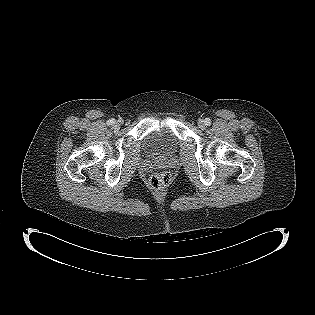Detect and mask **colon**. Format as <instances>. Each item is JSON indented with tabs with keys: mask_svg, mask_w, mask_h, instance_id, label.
Here are the masks:
<instances>
[{
	"mask_svg": "<svg viewBox=\"0 0 315 315\" xmlns=\"http://www.w3.org/2000/svg\"><path fill=\"white\" fill-rule=\"evenodd\" d=\"M172 180V175L169 171H156L151 174L149 184L156 190L166 188Z\"/></svg>",
	"mask_w": 315,
	"mask_h": 315,
	"instance_id": "obj_1",
	"label": "colon"
}]
</instances>
